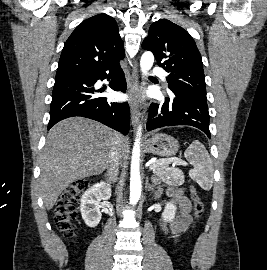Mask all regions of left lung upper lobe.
Wrapping results in <instances>:
<instances>
[{
  "mask_svg": "<svg viewBox=\"0 0 267 270\" xmlns=\"http://www.w3.org/2000/svg\"><path fill=\"white\" fill-rule=\"evenodd\" d=\"M142 48L151 51L157 64L169 73L167 82L173 93L207 100L201 54L185 29L160 19L150 26Z\"/></svg>",
  "mask_w": 267,
  "mask_h": 270,
  "instance_id": "5c2ea615",
  "label": "left lung upper lobe"
}]
</instances>
